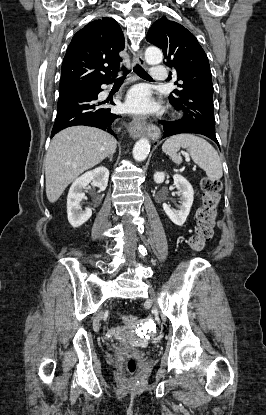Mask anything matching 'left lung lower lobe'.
Returning a JSON list of instances; mask_svg holds the SVG:
<instances>
[{"mask_svg": "<svg viewBox=\"0 0 266 415\" xmlns=\"http://www.w3.org/2000/svg\"><path fill=\"white\" fill-rule=\"evenodd\" d=\"M161 124L164 128L163 138H166V137H169L175 134H180V133H195V134H202V135L207 136L219 146L215 132L204 130L203 128L193 125L191 123H188L184 121L183 119L172 121V122L162 120Z\"/></svg>", "mask_w": 266, "mask_h": 415, "instance_id": "0a47b994", "label": "left lung lower lobe"}]
</instances>
